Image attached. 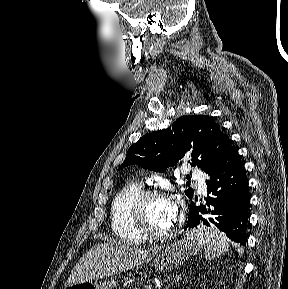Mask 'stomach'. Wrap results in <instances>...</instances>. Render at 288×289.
<instances>
[{"label":"stomach","mask_w":288,"mask_h":289,"mask_svg":"<svg viewBox=\"0 0 288 289\" xmlns=\"http://www.w3.org/2000/svg\"><path fill=\"white\" fill-rule=\"evenodd\" d=\"M202 245L191 235L186 236L170 245L165 246L153 259L155 268L158 270H172L183 264L190 256L197 254ZM118 285L116 277L104 280L103 282L85 281L68 286L67 289H113Z\"/></svg>","instance_id":"obj_1"}]
</instances>
